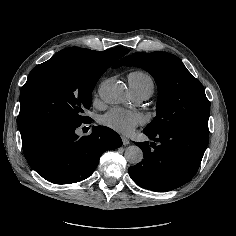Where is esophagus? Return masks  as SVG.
<instances>
[{
	"instance_id": "esophagus-1",
	"label": "esophagus",
	"mask_w": 236,
	"mask_h": 236,
	"mask_svg": "<svg viewBox=\"0 0 236 236\" xmlns=\"http://www.w3.org/2000/svg\"><path fill=\"white\" fill-rule=\"evenodd\" d=\"M123 145H128L130 143V140L128 138H126L125 136H121Z\"/></svg>"
}]
</instances>
